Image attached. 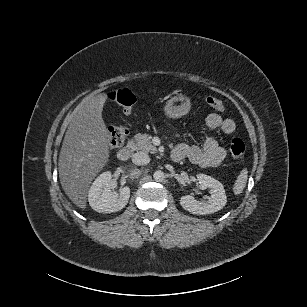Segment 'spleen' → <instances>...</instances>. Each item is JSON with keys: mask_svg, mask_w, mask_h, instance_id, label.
<instances>
[{"mask_svg": "<svg viewBox=\"0 0 307 307\" xmlns=\"http://www.w3.org/2000/svg\"><path fill=\"white\" fill-rule=\"evenodd\" d=\"M247 179H248V170L246 168H244L240 174L238 175L234 186H233V192L235 195L241 194L243 189L246 186L247 183Z\"/></svg>", "mask_w": 307, "mask_h": 307, "instance_id": "3e777b00", "label": "spleen"}]
</instances>
